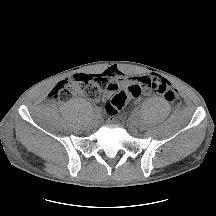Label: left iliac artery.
<instances>
[{
	"label": "left iliac artery",
	"mask_w": 216,
	"mask_h": 216,
	"mask_svg": "<svg viewBox=\"0 0 216 216\" xmlns=\"http://www.w3.org/2000/svg\"><path fill=\"white\" fill-rule=\"evenodd\" d=\"M134 114L137 116L139 114V111L138 110H135L134 111Z\"/></svg>",
	"instance_id": "1"
}]
</instances>
